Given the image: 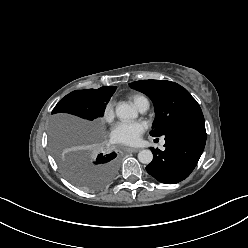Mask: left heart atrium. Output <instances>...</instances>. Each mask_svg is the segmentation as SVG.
Wrapping results in <instances>:
<instances>
[{
	"label": "left heart atrium",
	"instance_id": "left-heart-atrium-1",
	"mask_svg": "<svg viewBox=\"0 0 248 248\" xmlns=\"http://www.w3.org/2000/svg\"><path fill=\"white\" fill-rule=\"evenodd\" d=\"M145 130V125L139 121H120L111 130L112 139L121 144L134 145L138 143Z\"/></svg>",
	"mask_w": 248,
	"mask_h": 248
}]
</instances>
